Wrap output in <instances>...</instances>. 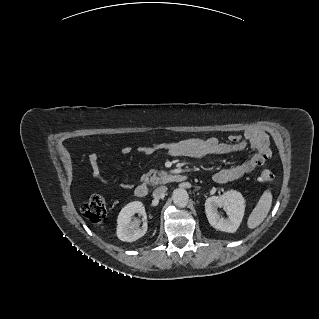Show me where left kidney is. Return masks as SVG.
<instances>
[{"mask_svg": "<svg viewBox=\"0 0 319 319\" xmlns=\"http://www.w3.org/2000/svg\"><path fill=\"white\" fill-rule=\"evenodd\" d=\"M223 208L228 218L222 217L218 208ZM245 211V200L242 194L229 190L221 196H212L205 201V213L212 227L217 230L234 233L240 226Z\"/></svg>", "mask_w": 319, "mask_h": 319, "instance_id": "obj_1", "label": "left kidney"}]
</instances>
